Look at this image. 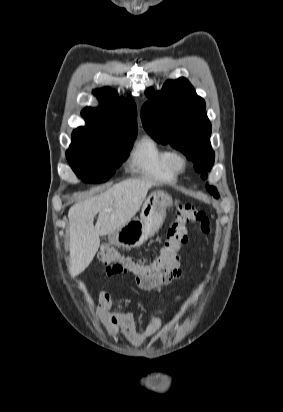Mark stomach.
Segmentation results:
<instances>
[{
	"mask_svg": "<svg viewBox=\"0 0 283 412\" xmlns=\"http://www.w3.org/2000/svg\"><path fill=\"white\" fill-rule=\"evenodd\" d=\"M173 205L172 197L156 191L149 195L142 207L140 218L129 221L119 230L110 234L109 239L118 247H140L162 227L166 209Z\"/></svg>",
	"mask_w": 283,
	"mask_h": 412,
	"instance_id": "0dacf381",
	"label": "stomach"
}]
</instances>
